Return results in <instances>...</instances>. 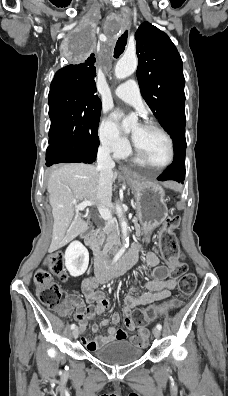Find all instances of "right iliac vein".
<instances>
[{
	"instance_id": "obj_1",
	"label": "right iliac vein",
	"mask_w": 228,
	"mask_h": 396,
	"mask_svg": "<svg viewBox=\"0 0 228 396\" xmlns=\"http://www.w3.org/2000/svg\"><path fill=\"white\" fill-rule=\"evenodd\" d=\"M78 335H79V330L76 328V329L73 330L72 336H73L74 339H76L78 337Z\"/></svg>"
}]
</instances>
